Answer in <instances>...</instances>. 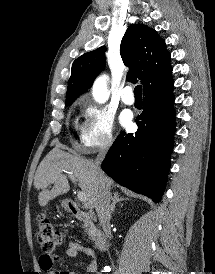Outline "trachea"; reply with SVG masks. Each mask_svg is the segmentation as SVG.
Instances as JSON below:
<instances>
[{
  "instance_id": "obj_1",
  "label": "trachea",
  "mask_w": 215,
  "mask_h": 274,
  "mask_svg": "<svg viewBox=\"0 0 215 274\" xmlns=\"http://www.w3.org/2000/svg\"><path fill=\"white\" fill-rule=\"evenodd\" d=\"M135 97L141 98L142 97V85H137L134 89Z\"/></svg>"
}]
</instances>
